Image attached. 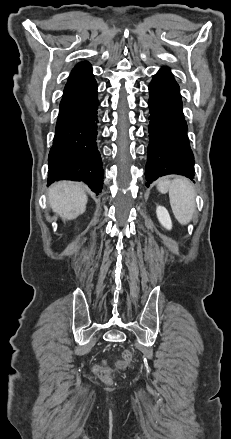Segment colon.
I'll use <instances>...</instances> for the list:
<instances>
[{"label": "colon", "mask_w": 231, "mask_h": 439, "mask_svg": "<svg viewBox=\"0 0 231 439\" xmlns=\"http://www.w3.org/2000/svg\"><path fill=\"white\" fill-rule=\"evenodd\" d=\"M133 361V352L131 350H124L122 359L118 362V366L123 367L129 365ZM113 366L108 363L96 365L93 369L94 373L102 380L107 381Z\"/></svg>", "instance_id": "colon-1"}]
</instances>
